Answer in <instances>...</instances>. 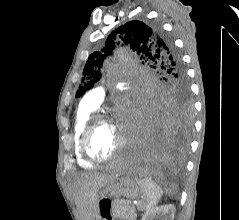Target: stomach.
<instances>
[{"label":"stomach","instance_id":"obj_1","mask_svg":"<svg viewBox=\"0 0 239 220\" xmlns=\"http://www.w3.org/2000/svg\"><path fill=\"white\" fill-rule=\"evenodd\" d=\"M142 190L135 180L131 178H113L101 191V198L98 201V217L103 220H116L115 212L109 211L110 200L108 197L137 198Z\"/></svg>","mask_w":239,"mask_h":220}]
</instances>
